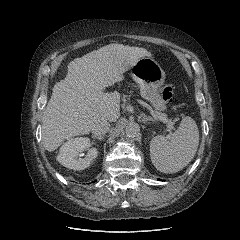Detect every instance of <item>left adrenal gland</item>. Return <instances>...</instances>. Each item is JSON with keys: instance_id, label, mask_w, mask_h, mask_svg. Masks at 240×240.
I'll list each match as a JSON object with an SVG mask.
<instances>
[{"instance_id": "1", "label": "left adrenal gland", "mask_w": 240, "mask_h": 240, "mask_svg": "<svg viewBox=\"0 0 240 240\" xmlns=\"http://www.w3.org/2000/svg\"><path fill=\"white\" fill-rule=\"evenodd\" d=\"M141 117L144 124L147 123V121H152V118L145 115L144 113H141Z\"/></svg>"}]
</instances>
